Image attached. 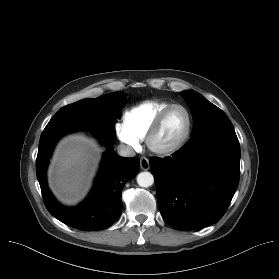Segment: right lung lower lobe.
I'll return each instance as SVG.
<instances>
[{
	"label": "right lung lower lobe",
	"mask_w": 279,
	"mask_h": 279,
	"mask_svg": "<svg viewBox=\"0 0 279 279\" xmlns=\"http://www.w3.org/2000/svg\"><path fill=\"white\" fill-rule=\"evenodd\" d=\"M84 128L93 131L101 142L106 141L107 135L83 123H67L45 129L40 137L36 173L45 206L55 218L79 230H102L119 219L123 206L121 202L123 186L136 176L140 162L137 157H116L113 152H107L103 157L95 186L87 199L76 208L61 206L48 189L46 167L56 141L68 132Z\"/></svg>",
	"instance_id": "obj_1"
}]
</instances>
